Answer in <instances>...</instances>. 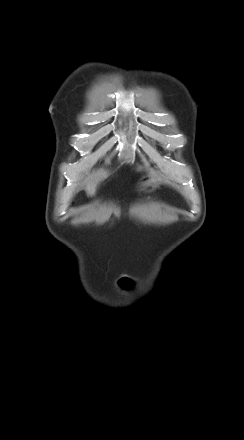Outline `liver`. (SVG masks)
<instances>
[{"label":"liver","instance_id":"obj_1","mask_svg":"<svg viewBox=\"0 0 244 440\" xmlns=\"http://www.w3.org/2000/svg\"><path fill=\"white\" fill-rule=\"evenodd\" d=\"M97 183L91 182L86 185V193L88 196L95 194Z\"/></svg>","mask_w":244,"mask_h":440}]
</instances>
